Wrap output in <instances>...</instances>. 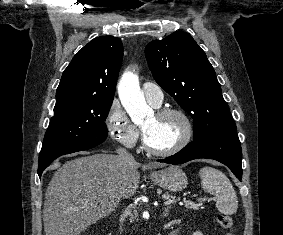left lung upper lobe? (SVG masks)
Returning a JSON list of instances; mask_svg holds the SVG:
<instances>
[{
    "label": "left lung upper lobe",
    "instance_id": "1",
    "mask_svg": "<svg viewBox=\"0 0 283 235\" xmlns=\"http://www.w3.org/2000/svg\"><path fill=\"white\" fill-rule=\"evenodd\" d=\"M145 55L155 81L193 118L194 140L237 131L216 73L189 34L151 41Z\"/></svg>",
    "mask_w": 283,
    "mask_h": 235
}]
</instances>
